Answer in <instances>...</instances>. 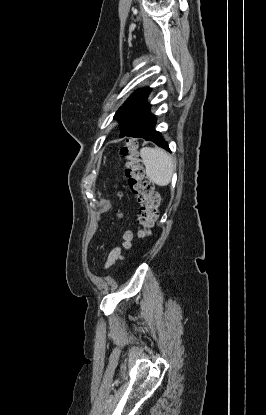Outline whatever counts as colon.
<instances>
[{
    "mask_svg": "<svg viewBox=\"0 0 266 415\" xmlns=\"http://www.w3.org/2000/svg\"><path fill=\"white\" fill-rule=\"evenodd\" d=\"M121 153L127 158L125 174L129 187L140 204L138 223L141 226V238L151 235V229L158 218L160 195L155 190L153 181L146 175L136 143L127 140L121 147Z\"/></svg>",
    "mask_w": 266,
    "mask_h": 415,
    "instance_id": "colon-1",
    "label": "colon"
}]
</instances>
